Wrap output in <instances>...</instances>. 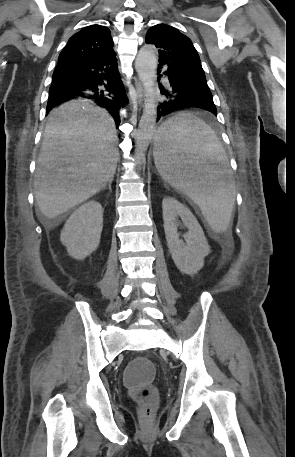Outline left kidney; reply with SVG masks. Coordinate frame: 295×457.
<instances>
[{
  "label": "left kidney",
  "instance_id": "left-kidney-1",
  "mask_svg": "<svg viewBox=\"0 0 295 457\" xmlns=\"http://www.w3.org/2000/svg\"><path fill=\"white\" fill-rule=\"evenodd\" d=\"M162 209L167 245L175 265L185 274H196L203 267L204 258L210 253V247L199 222L192 212L175 198H164ZM178 216L188 228V232L184 235L186 243L179 239Z\"/></svg>",
  "mask_w": 295,
  "mask_h": 457
}]
</instances>
